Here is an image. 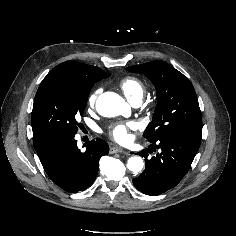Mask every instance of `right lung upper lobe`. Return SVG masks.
<instances>
[{
    "label": "right lung upper lobe",
    "mask_w": 236,
    "mask_h": 236,
    "mask_svg": "<svg viewBox=\"0 0 236 236\" xmlns=\"http://www.w3.org/2000/svg\"><path fill=\"white\" fill-rule=\"evenodd\" d=\"M49 74L68 76L84 86H93L97 81L110 76L99 67L82 64L73 60L59 64Z\"/></svg>",
    "instance_id": "1"
}]
</instances>
